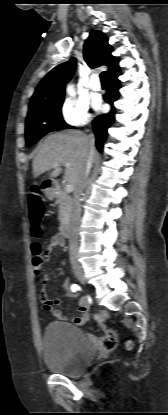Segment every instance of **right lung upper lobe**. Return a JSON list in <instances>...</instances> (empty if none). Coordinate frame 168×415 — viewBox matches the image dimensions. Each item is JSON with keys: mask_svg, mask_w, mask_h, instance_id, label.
<instances>
[{"mask_svg": "<svg viewBox=\"0 0 168 415\" xmlns=\"http://www.w3.org/2000/svg\"><path fill=\"white\" fill-rule=\"evenodd\" d=\"M112 51L113 48L108 44L106 35L92 30L84 43V60L90 68L106 65L108 67L106 73L110 76L120 70L119 58L113 56ZM75 69V58L53 68L36 87L29 110L64 99L65 85L73 76Z\"/></svg>", "mask_w": 168, "mask_h": 415, "instance_id": "obj_1", "label": "right lung upper lobe"}]
</instances>
